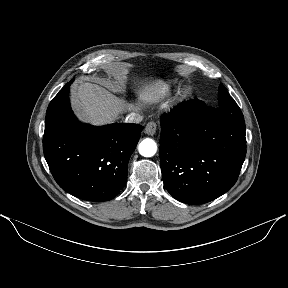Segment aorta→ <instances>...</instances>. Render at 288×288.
I'll return each instance as SVG.
<instances>
[{
	"instance_id": "762f6f07",
	"label": "aorta",
	"mask_w": 288,
	"mask_h": 288,
	"mask_svg": "<svg viewBox=\"0 0 288 288\" xmlns=\"http://www.w3.org/2000/svg\"><path fill=\"white\" fill-rule=\"evenodd\" d=\"M139 153L144 157H152L157 152V144L154 140L146 138L138 147Z\"/></svg>"
}]
</instances>
